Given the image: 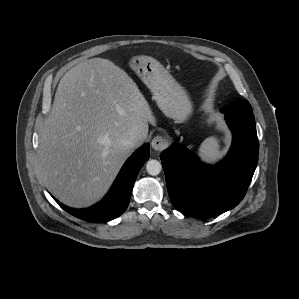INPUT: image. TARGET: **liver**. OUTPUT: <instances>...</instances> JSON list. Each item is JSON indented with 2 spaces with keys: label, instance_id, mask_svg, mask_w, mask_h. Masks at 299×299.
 <instances>
[{
  "label": "liver",
  "instance_id": "1",
  "mask_svg": "<svg viewBox=\"0 0 299 299\" xmlns=\"http://www.w3.org/2000/svg\"><path fill=\"white\" fill-rule=\"evenodd\" d=\"M149 122L155 123L151 108L123 69L103 58L77 64L61 78L40 134L46 187L69 207L94 204L133 151L122 141H144Z\"/></svg>",
  "mask_w": 299,
  "mask_h": 299
}]
</instances>
